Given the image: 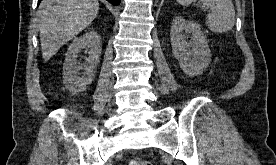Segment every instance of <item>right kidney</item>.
<instances>
[{"mask_svg":"<svg viewBox=\"0 0 276 165\" xmlns=\"http://www.w3.org/2000/svg\"><path fill=\"white\" fill-rule=\"evenodd\" d=\"M84 49L88 51L89 57L85 63L78 64L77 57ZM100 55V36L95 31H89L75 38L70 44L63 64V83L73 95L85 91L92 83ZM80 70H84L81 76H79Z\"/></svg>","mask_w":276,"mask_h":165,"instance_id":"right-kidney-1","label":"right kidney"}]
</instances>
